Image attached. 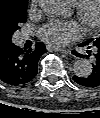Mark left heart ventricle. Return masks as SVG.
Segmentation results:
<instances>
[{
    "mask_svg": "<svg viewBox=\"0 0 100 118\" xmlns=\"http://www.w3.org/2000/svg\"><path fill=\"white\" fill-rule=\"evenodd\" d=\"M94 17H95V8H94V6H91L87 12V18L93 19Z\"/></svg>",
    "mask_w": 100,
    "mask_h": 118,
    "instance_id": "1",
    "label": "left heart ventricle"
}]
</instances>
